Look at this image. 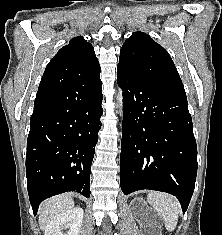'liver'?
Listing matches in <instances>:
<instances>
[{"mask_svg": "<svg viewBox=\"0 0 222 235\" xmlns=\"http://www.w3.org/2000/svg\"><path fill=\"white\" fill-rule=\"evenodd\" d=\"M74 207V201L69 194L52 197L40 207L39 226L46 229L49 223L58 215L63 214Z\"/></svg>", "mask_w": 222, "mask_h": 235, "instance_id": "1", "label": "liver"}]
</instances>
